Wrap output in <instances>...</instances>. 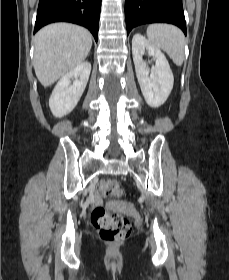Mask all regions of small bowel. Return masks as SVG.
I'll use <instances>...</instances> for the list:
<instances>
[{
  "mask_svg": "<svg viewBox=\"0 0 229 280\" xmlns=\"http://www.w3.org/2000/svg\"><path fill=\"white\" fill-rule=\"evenodd\" d=\"M96 201H97V202L100 201L99 197L96 198ZM107 207H108L109 209L113 210V209H116V208L118 207V205H117L116 203L112 202V201H109V202L107 203Z\"/></svg>",
  "mask_w": 229,
  "mask_h": 280,
  "instance_id": "1",
  "label": "small bowel"
}]
</instances>
